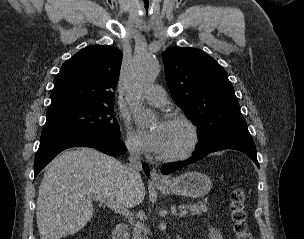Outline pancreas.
<instances>
[{"label":"pancreas","instance_id":"pancreas-1","mask_svg":"<svg viewBox=\"0 0 304 239\" xmlns=\"http://www.w3.org/2000/svg\"><path fill=\"white\" fill-rule=\"evenodd\" d=\"M182 207L190 210L192 215H200L208 211V207L205 202H198L194 205H182ZM147 232L148 228L142 222H137L134 224L132 239H148Z\"/></svg>","mask_w":304,"mask_h":239}]
</instances>
